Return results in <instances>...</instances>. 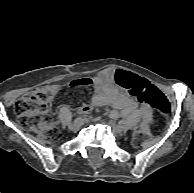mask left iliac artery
<instances>
[{
	"instance_id": "left-iliac-artery-1",
	"label": "left iliac artery",
	"mask_w": 194,
	"mask_h": 193,
	"mask_svg": "<svg viewBox=\"0 0 194 193\" xmlns=\"http://www.w3.org/2000/svg\"><path fill=\"white\" fill-rule=\"evenodd\" d=\"M119 123H120V124H124V123H125V121H124V120H121Z\"/></svg>"
}]
</instances>
